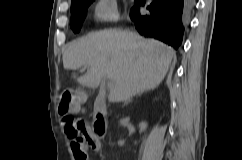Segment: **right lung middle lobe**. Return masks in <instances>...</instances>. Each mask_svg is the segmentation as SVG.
I'll list each match as a JSON object with an SVG mask.
<instances>
[{"label":"right lung middle lobe","instance_id":"1","mask_svg":"<svg viewBox=\"0 0 242 160\" xmlns=\"http://www.w3.org/2000/svg\"><path fill=\"white\" fill-rule=\"evenodd\" d=\"M92 2L93 0H76L71 2V27L75 33L80 31L86 10Z\"/></svg>","mask_w":242,"mask_h":160}]
</instances>
